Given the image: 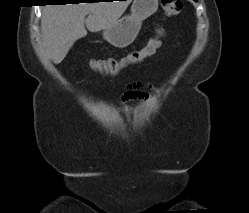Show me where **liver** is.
<instances>
[{
    "instance_id": "liver-1",
    "label": "liver",
    "mask_w": 249,
    "mask_h": 213,
    "mask_svg": "<svg viewBox=\"0 0 249 213\" xmlns=\"http://www.w3.org/2000/svg\"><path fill=\"white\" fill-rule=\"evenodd\" d=\"M131 1L45 6L41 17L42 46L45 52L53 63H61L75 41L87 35L86 28L90 32H97L113 25Z\"/></svg>"
}]
</instances>
